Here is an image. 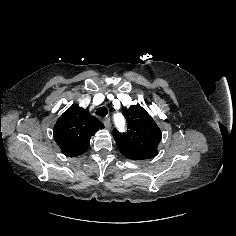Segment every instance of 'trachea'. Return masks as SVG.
<instances>
[{
	"instance_id": "3493384b",
	"label": "trachea",
	"mask_w": 236,
	"mask_h": 236,
	"mask_svg": "<svg viewBox=\"0 0 236 236\" xmlns=\"http://www.w3.org/2000/svg\"><path fill=\"white\" fill-rule=\"evenodd\" d=\"M108 111L106 107H100L95 114L100 116V117H105L107 115Z\"/></svg>"
}]
</instances>
